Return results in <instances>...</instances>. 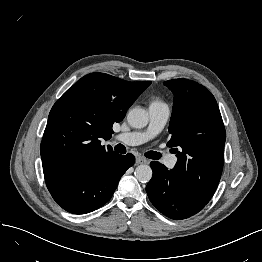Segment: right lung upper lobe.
<instances>
[{"instance_id":"right-lung-upper-lobe-1","label":"right lung upper lobe","mask_w":262,"mask_h":262,"mask_svg":"<svg viewBox=\"0 0 262 262\" xmlns=\"http://www.w3.org/2000/svg\"><path fill=\"white\" fill-rule=\"evenodd\" d=\"M151 84L128 82L105 73L78 80L52 107L40 146L43 169L95 163L115 154L101 145L112 126Z\"/></svg>"}]
</instances>
